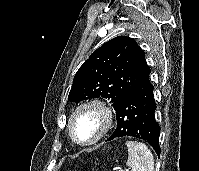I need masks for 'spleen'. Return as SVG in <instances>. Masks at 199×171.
I'll use <instances>...</instances> for the list:
<instances>
[{
  "mask_svg": "<svg viewBox=\"0 0 199 171\" xmlns=\"http://www.w3.org/2000/svg\"><path fill=\"white\" fill-rule=\"evenodd\" d=\"M127 166L131 171H154V158L146 144L138 141H127Z\"/></svg>",
  "mask_w": 199,
  "mask_h": 171,
  "instance_id": "3e777b00",
  "label": "spleen"
}]
</instances>
